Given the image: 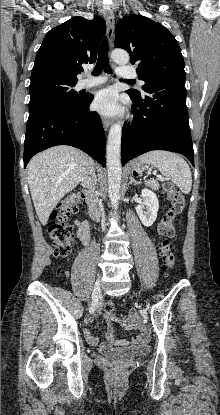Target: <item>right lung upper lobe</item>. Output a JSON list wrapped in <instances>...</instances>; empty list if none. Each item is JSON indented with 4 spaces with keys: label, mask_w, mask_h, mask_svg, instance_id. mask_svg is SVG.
Wrapping results in <instances>:
<instances>
[{
    "label": "right lung upper lobe",
    "mask_w": 220,
    "mask_h": 415,
    "mask_svg": "<svg viewBox=\"0 0 220 415\" xmlns=\"http://www.w3.org/2000/svg\"><path fill=\"white\" fill-rule=\"evenodd\" d=\"M106 33L103 18L73 17L51 29L37 52L31 80L57 78L77 82L81 65L96 61L100 40Z\"/></svg>",
    "instance_id": "cb5924a9"
}]
</instances>
